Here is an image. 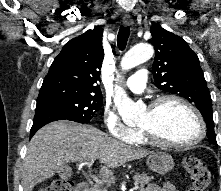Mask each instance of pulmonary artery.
<instances>
[{"mask_svg": "<svg viewBox=\"0 0 221 191\" xmlns=\"http://www.w3.org/2000/svg\"><path fill=\"white\" fill-rule=\"evenodd\" d=\"M147 71L146 69H139L134 75L129 77L126 81V87L134 92L141 93L146 88Z\"/></svg>", "mask_w": 221, "mask_h": 191, "instance_id": "obj_1", "label": "pulmonary artery"}]
</instances>
